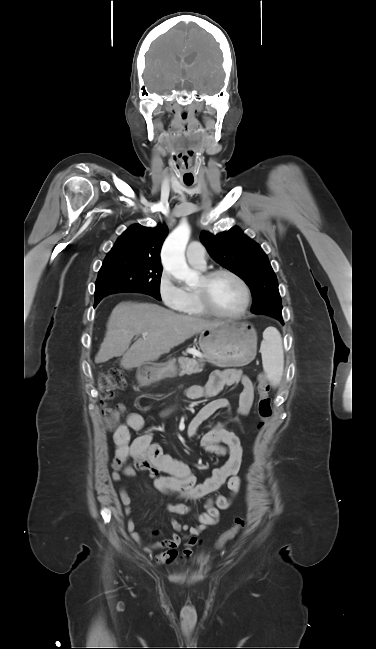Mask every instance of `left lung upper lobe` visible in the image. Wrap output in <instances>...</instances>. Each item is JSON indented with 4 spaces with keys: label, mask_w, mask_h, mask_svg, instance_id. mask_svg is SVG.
Wrapping results in <instances>:
<instances>
[{
    "label": "left lung upper lobe",
    "mask_w": 376,
    "mask_h": 649,
    "mask_svg": "<svg viewBox=\"0 0 376 649\" xmlns=\"http://www.w3.org/2000/svg\"><path fill=\"white\" fill-rule=\"evenodd\" d=\"M200 238L217 263L247 283L253 297L251 311L283 321L277 278L261 247L237 227L217 235L202 231Z\"/></svg>",
    "instance_id": "obj_1"
}]
</instances>
